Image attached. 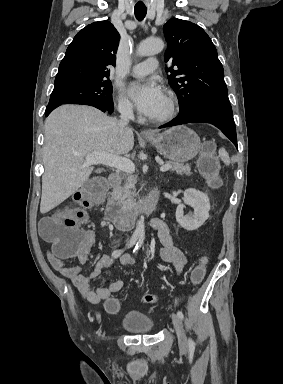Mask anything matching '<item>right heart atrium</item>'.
<instances>
[{
    "label": "right heart atrium",
    "mask_w": 283,
    "mask_h": 384,
    "mask_svg": "<svg viewBox=\"0 0 283 384\" xmlns=\"http://www.w3.org/2000/svg\"><path fill=\"white\" fill-rule=\"evenodd\" d=\"M116 106H117L118 111L124 117H128L132 114V111H133L132 106L125 97L118 96L116 99Z\"/></svg>",
    "instance_id": "1"
}]
</instances>
